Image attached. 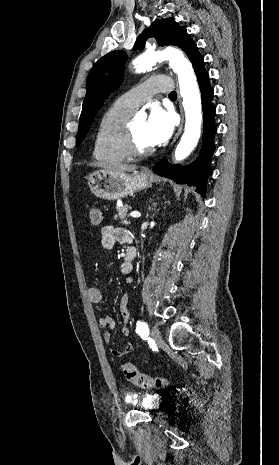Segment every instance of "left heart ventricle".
I'll use <instances>...</instances> for the list:
<instances>
[{"mask_svg":"<svg viewBox=\"0 0 279 465\" xmlns=\"http://www.w3.org/2000/svg\"><path fill=\"white\" fill-rule=\"evenodd\" d=\"M145 124L146 121L144 120H137L131 123L135 146L142 150L152 147L146 134Z\"/></svg>","mask_w":279,"mask_h":465,"instance_id":"1","label":"left heart ventricle"}]
</instances>
